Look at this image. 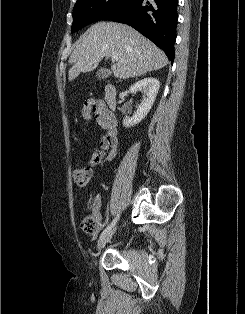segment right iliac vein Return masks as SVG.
I'll return each mask as SVG.
<instances>
[{
    "mask_svg": "<svg viewBox=\"0 0 245 314\" xmlns=\"http://www.w3.org/2000/svg\"><path fill=\"white\" fill-rule=\"evenodd\" d=\"M118 218H119V216L117 217V220H118ZM116 228H117V226L116 225H114L113 227H112V229L108 232V233H106L104 236H102L100 239H99V241H98V243H97V252H99L104 246H105V244L111 239V237L113 236V234L115 233V231H116ZM98 254V253H97ZM97 254H96V256H97ZM96 263V262H95Z\"/></svg>",
    "mask_w": 245,
    "mask_h": 314,
    "instance_id": "obj_1",
    "label": "right iliac vein"
}]
</instances>
